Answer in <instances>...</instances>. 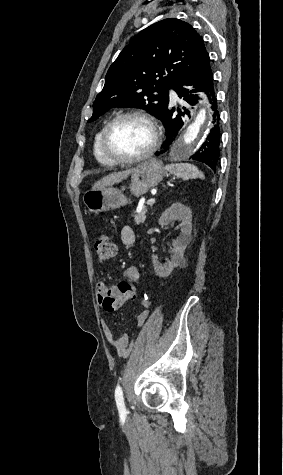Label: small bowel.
Segmentation results:
<instances>
[{"label":"small bowel","mask_w":283,"mask_h":475,"mask_svg":"<svg viewBox=\"0 0 283 475\" xmlns=\"http://www.w3.org/2000/svg\"><path fill=\"white\" fill-rule=\"evenodd\" d=\"M121 241L125 246H132L135 244L136 237L134 230L130 226H124L120 232ZM132 274H139L138 270L135 267H128L124 271V279H130ZM118 285H108L104 281H99L95 286V297L97 304L104 309L101 305L102 295L103 293H118ZM136 298V295H135ZM142 304L145 307L142 311H140L136 317V324L138 327H141L144 322L146 321L149 311L148 308L150 307V299L148 297H144L142 300ZM102 332L104 337L106 338L107 342L112 345L117 352L119 357H126L128 356L131 350V339L128 334H122L118 337L114 336L112 329L106 322H102L101 324Z\"/></svg>","instance_id":"c3829d8e"}]
</instances>
